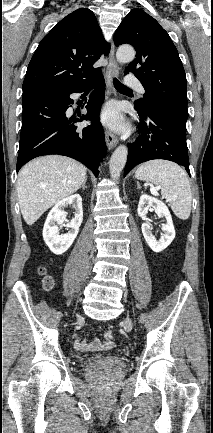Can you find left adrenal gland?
I'll use <instances>...</instances> for the list:
<instances>
[{"instance_id": "a2214340", "label": "left adrenal gland", "mask_w": 213, "mask_h": 433, "mask_svg": "<svg viewBox=\"0 0 213 433\" xmlns=\"http://www.w3.org/2000/svg\"><path fill=\"white\" fill-rule=\"evenodd\" d=\"M140 188H141V186H140L139 182H137V189H140Z\"/></svg>"}]
</instances>
